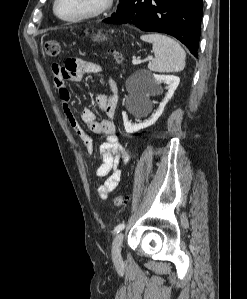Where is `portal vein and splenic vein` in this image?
<instances>
[{
    "label": "portal vein and splenic vein",
    "instance_id": "portal-vein-and-splenic-vein-1",
    "mask_svg": "<svg viewBox=\"0 0 247 299\" xmlns=\"http://www.w3.org/2000/svg\"><path fill=\"white\" fill-rule=\"evenodd\" d=\"M152 58L151 57H149L148 58V60H151ZM142 61L140 60V59H136V58H133V60H132V63L134 64V65H137V64H139V63H141Z\"/></svg>",
    "mask_w": 247,
    "mask_h": 299
}]
</instances>
